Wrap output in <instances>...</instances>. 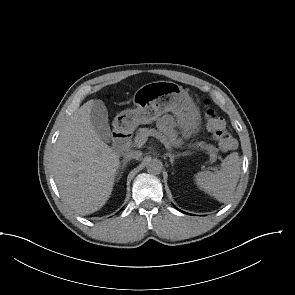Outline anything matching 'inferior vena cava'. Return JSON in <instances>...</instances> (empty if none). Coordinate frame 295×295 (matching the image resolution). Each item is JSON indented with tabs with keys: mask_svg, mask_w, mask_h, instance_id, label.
I'll list each match as a JSON object with an SVG mask.
<instances>
[{
	"mask_svg": "<svg viewBox=\"0 0 295 295\" xmlns=\"http://www.w3.org/2000/svg\"><path fill=\"white\" fill-rule=\"evenodd\" d=\"M142 156V152L141 151H131L129 153H127V155L125 156V159L131 160V159H140Z\"/></svg>",
	"mask_w": 295,
	"mask_h": 295,
	"instance_id": "602c4592",
	"label": "inferior vena cava"
}]
</instances>
